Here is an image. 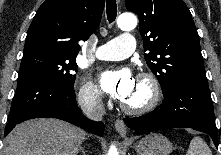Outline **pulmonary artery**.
<instances>
[{
	"mask_svg": "<svg viewBox=\"0 0 221 155\" xmlns=\"http://www.w3.org/2000/svg\"><path fill=\"white\" fill-rule=\"evenodd\" d=\"M134 49V37L131 34L123 33L98 47L96 57L101 60H122L132 54Z\"/></svg>",
	"mask_w": 221,
	"mask_h": 155,
	"instance_id": "e3ab8cb5",
	"label": "pulmonary artery"
}]
</instances>
